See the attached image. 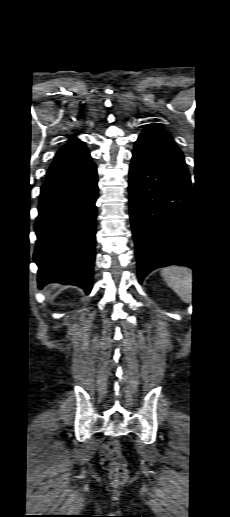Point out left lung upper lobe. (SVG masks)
<instances>
[{
  "mask_svg": "<svg viewBox=\"0 0 230 517\" xmlns=\"http://www.w3.org/2000/svg\"><path fill=\"white\" fill-rule=\"evenodd\" d=\"M138 140H144V141L151 142L153 144L167 146V147H170V148L182 153L175 145V142L173 141L170 134H168L167 132H164L152 125L146 126L143 129V132L138 137Z\"/></svg>",
  "mask_w": 230,
  "mask_h": 517,
  "instance_id": "1",
  "label": "left lung upper lobe"
}]
</instances>
